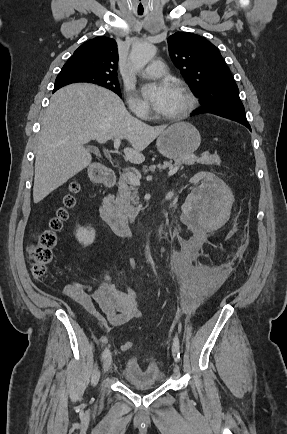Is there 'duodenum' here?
I'll return each instance as SVG.
<instances>
[{
  "label": "duodenum",
  "instance_id": "duodenum-1",
  "mask_svg": "<svg viewBox=\"0 0 287 434\" xmlns=\"http://www.w3.org/2000/svg\"><path fill=\"white\" fill-rule=\"evenodd\" d=\"M90 175L95 181L103 183L108 188H113L116 184L117 175L110 168L93 167L90 170ZM100 213L103 220L111 227L116 235L126 238L133 236V231L128 221L116 214L114 210V196L112 194H108L103 198Z\"/></svg>",
  "mask_w": 287,
  "mask_h": 434
}]
</instances>
